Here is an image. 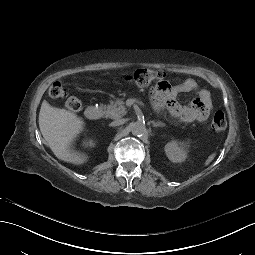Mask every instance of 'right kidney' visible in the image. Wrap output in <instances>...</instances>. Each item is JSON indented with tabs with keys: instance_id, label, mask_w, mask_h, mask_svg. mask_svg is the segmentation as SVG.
Returning <instances> with one entry per match:
<instances>
[{
	"instance_id": "ca27d5eb",
	"label": "right kidney",
	"mask_w": 255,
	"mask_h": 255,
	"mask_svg": "<svg viewBox=\"0 0 255 255\" xmlns=\"http://www.w3.org/2000/svg\"><path fill=\"white\" fill-rule=\"evenodd\" d=\"M92 145H93L92 142H88V143H87V146H92Z\"/></svg>"
}]
</instances>
